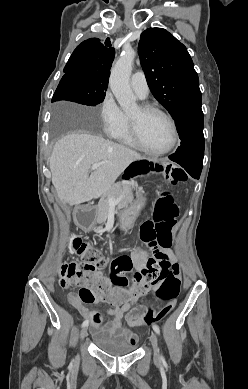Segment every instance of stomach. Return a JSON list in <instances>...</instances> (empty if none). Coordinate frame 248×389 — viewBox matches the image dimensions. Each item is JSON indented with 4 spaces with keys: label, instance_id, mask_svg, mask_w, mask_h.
Listing matches in <instances>:
<instances>
[{
    "label": "stomach",
    "instance_id": "obj_1",
    "mask_svg": "<svg viewBox=\"0 0 248 389\" xmlns=\"http://www.w3.org/2000/svg\"><path fill=\"white\" fill-rule=\"evenodd\" d=\"M145 203V197L141 194L136 203L135 206L136 208H139L140 206L144 205ZM135 206L133 204H130L128 207H122L120 209L121 213H117L115 215V218L119 220V233L122 235H126L129 231V226H132L134 224V219L136 216L139 214V211L135 209ZM91 213H84V220H91L90 224L94 225L95 221L98 218V215L95 212L94 208L90 209ZM102 218H105V215L101 216ZM110 218L112 217L111 215L109 216Z\"/></svg>",
    "mask_w": 248,
    "mask_h": 389
}]
</instances>
